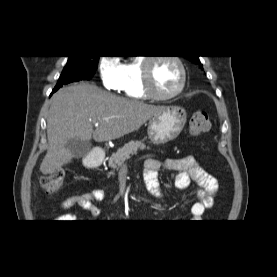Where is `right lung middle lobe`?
Masks as SVG:
<instances>
[{
	"label": "right lung middle lobe",
	"mask_w": 277,
	"mask_h": 277,
	"mask_svg": "<svg viewBox=\"0 0 277 277\" xmlns=\"http://www.w3.org/2000/svg\"><path fill=\"white\" fill-rule=\"evenodd\" d=\"M98 61L99 56H69L66 66L64 67L57 84L63 82L64 85L74 81L90 79L96 72Z\"/></svg>",
	"instance_id": "obj_1"
}]
</instances>
